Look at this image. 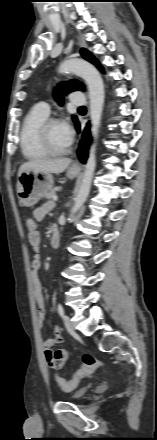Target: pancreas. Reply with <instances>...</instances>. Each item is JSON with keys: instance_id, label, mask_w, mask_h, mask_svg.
<instances>
[{"instance_id": "obj_1", "label": "pancreas", "mask_w": 157, "mask_h": 440, "mask_svg": "<svg viewBox=\"0 0 157 440\" xmlns=\"http://www.w3.org/2000/svg\"><path fill=\"white\" fill-rule=\"evenodd\" d=\"M59 190V187H55L53 189H51L46 195V199L50 200L51 203V199H53V197L56 195V191Z\"/></svg>"}]
</instances>
